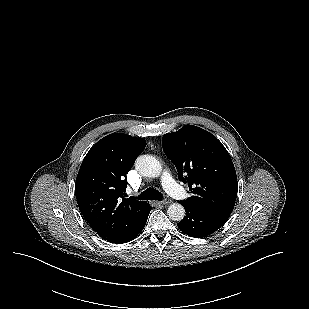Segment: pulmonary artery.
Listing matches in <instances>:
<instances>
[{
    "instance_id": "obj_1",
    "label": "pulmonary artery",
    "mask_w": 309,
    "mask_h": 309,
    "mask_svg": "<svg viewBox=\"0 0 309 309\" xmlns=\"http://www.w3.org/2000/svg\"><path fill=\"white\" fill-rule=\"evenodd\" d=\"M163 184L165 186L166 191L173 197L178 199L187 198L188 194L186 191L175 182V180L171 177L168 172L164 173L163 176Z\"/></svg>"
}]
</instances>
